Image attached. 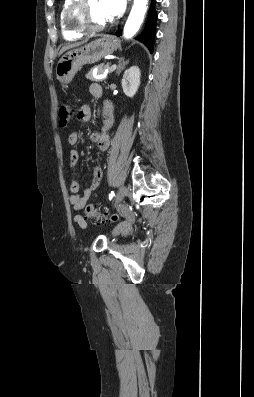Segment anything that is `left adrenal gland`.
Returning a JSON list of instances; mask_svg holds the SVG:
<instances>
[{"mask_svg": "<svg viewBox=\"0 0 254 397\" xmlns=\"http://www.w3.org/2000/svg\"><path fill=\"white\" fill-rule=\"evenodd\" d=\"M128 63H129V61H124V57H121L118 67L116 69V74L119 75L120 72L125 68V65H127Z\"/></svg>", "mask_w": 254, "mask_h": 397, "instance_id": "obj_1", "label": "left adrenal gland"}]
</instances>
